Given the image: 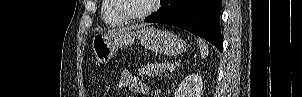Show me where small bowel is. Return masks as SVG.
Wrapping results in <instances>:
<instances>
[{
    "mask_svg": "<svg viewBox=\"0 0 302 97\" xmlns=\"http://www.w3.org/2000/svg\"><path fill=\"white\" fill-rule=\"evenodd\" d=\"M118 86L119 89L129 90L137 96H147L148 90L146 85L130 71H123L121 73Z\"/></svg>",
    "mask_w": 302,
    "mask_h": 97,
    "instance_id": "c3829d8e",
    "label": "small bowel"
}]
</instances>
